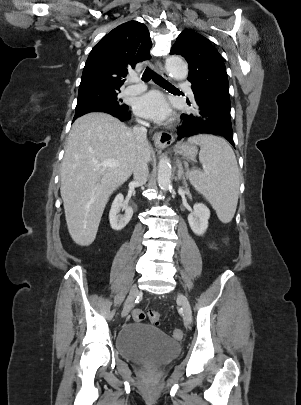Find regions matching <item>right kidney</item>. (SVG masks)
<instances>
[{
	"label": "right kidney",
	"instance_id": "obj_1",
	"mask_svg": "<svg viewBox=\"0 0 301 405\" xmlns=\"http://www.w3.org/2000/svg\"><path fill=\"white\" fill-rule=\"evenodd\" d=\"M121 209L125 211L124 215L119 214ZM132 215V208L125 203L124 196L122 194H118L115 197L109 212L111 228L116 231L123 229L132 218Z\"/></svg>",
	"mask_w": 301,
	"mask_h": 405
}]
</instances>
